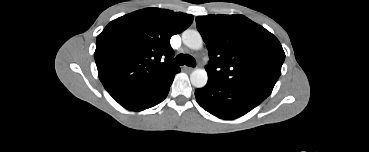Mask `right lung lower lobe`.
I'll use <instances>...</instances> for the list:
<instances>
[{
  "label": "right lung lower lobe",
  "mask_w": 369,
  "mask_h": 152,
  "mask_svg": "<svg viewBox=\"0 0 369 152\" xmlns=\"http://www.w3.org/2000/svg\"><path fill=\"white\" fill-rule=\"evenodd\" d=\"M179 71L180 68L171 72L158 82L116 98L115 100L124 108L132 111H142L155 106L166 98L173 82L174 75Z\"/></svg>",
  "instance_id": "right-lung-lower-lobe-1"
}]
</instances>
